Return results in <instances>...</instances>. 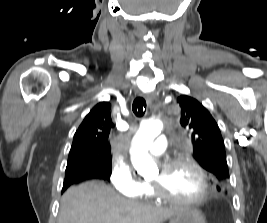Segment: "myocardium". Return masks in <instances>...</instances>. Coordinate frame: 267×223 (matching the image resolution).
Returning <instances> with one entry per match:
<instances>
[{"instance_id":"myocardium-1","label":"myocardium","mask_w":267,"mask_h":223,"mask_svg":"<svg viewBox=\"0 0 267 223\" xmlns=\"http://www.w3.org/2000/svg\"><path fill=\"white\" fill-rule=\"evenodd\" d=\"M180 165H187L192 167L196 172L199 174L202 184H203V192L200 196L194 199H180L177 197H174L168 193H166L161 185L156 182H150L149 186L152 191L153 196L161 201L178 204V205H184V206H196L201 203H203L209 196V181L206 171L193 159L189 157H178L173 158L164 161L160 165V169L162 172H168L169 170L173 169L174 167L180 166Z\"/></svg>"}]
</instances>
